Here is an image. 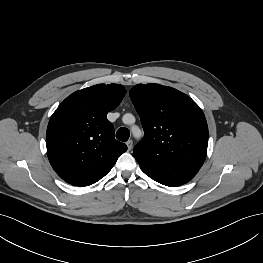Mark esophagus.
Segmentation results:
<instances>
[{"mask_svg": "<svg viewBox=\"0 0 263 263\" xmlns=\"http://www.w3.org/2000/svg\"><path fill=\"white\" fill-rule=\"evenodd\" d=\"M126 145H127V147H128V150L130 151V150L132 149V146H133V141H132V140H128V141L126 142Z\"/></svg>", "mask_w": 263, "mask_h": 263, "instance_id": "1", "label": "esophagus"}]
</instances>
